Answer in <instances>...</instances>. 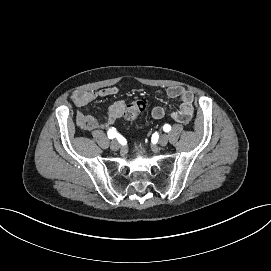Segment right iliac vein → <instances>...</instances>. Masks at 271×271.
<instances>
[{
	"instance_id": "63e3f726",
	"label": "right iliac vein",
	"mask_w": 271,
	"mask_h": 271,
	"mask_svg": "<svg viewBox=\"0 0 271 271\" xmlns=\"http://www.w3.org/2000/svg\"><path fill=\"white\" fill-rule=\"evenodd\" d=\"M110 147H111V149L113 151H117L120 146H119V143L117 141H112Z\"/></svg>"
}]
</instances>
